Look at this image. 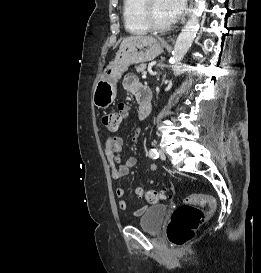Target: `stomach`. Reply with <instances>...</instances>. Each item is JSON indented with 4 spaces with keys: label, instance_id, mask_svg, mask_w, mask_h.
I'll list each match as a JSON object with an SVG mask.
<instances>
[{
    "label": "stomach",
    "instance_id": "obj_1",
    "mask_svg": "<svg viewBox=\"0 0 261 273\" xmlns=\"http://www.w3.org/2000/svg\"><path fill=\"white\" fill-rule=\"evenodd\" d=\"M165 44L155 38L140 39L121 46L115 59L109 63L100 79L95 83L93 103L106 109L116 98L117 82L131 64L155 59L163 52Z\"/></svg>",
    "mask_w": 261,
    "mask_h": 273
}]
</instances>
